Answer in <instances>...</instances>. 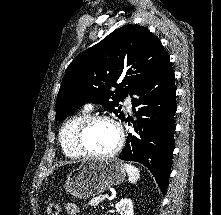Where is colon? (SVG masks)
Here are the masks:
<instances>
[{"label":"colon","mask_w":221,"mask_h":215,"mask_svg":"<svg viewBox=\"0 0 221 215\" xmlns=\"http://www.w3.org/2000/svg\"><path fill=\"white\" fill-rule=\"evenodd\" d=\"M46 212L47 215H60V206L57 203H50Z\"/></svg>","instance_id":"5ec220e1"}]
</instances>
